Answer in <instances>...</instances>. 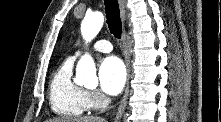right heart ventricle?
Instances as JSON below:
<instances>
[{
	"label": "right heart ventricle",
	"mask_w": 221,
	"mask_h": 122,
	"mask_svg": "<svg viewBox=\"0 0 221 122\" xmlns=\"http://www.w3.org/2000/svg\"><path fill=\"white\" fill-rule=\"evenodd\" d=\"M73 63V58L66 59L50 82V106L53 112L61 116L78 117L91 108L86 91L73 80Z\"/></svg>",
	"instance_id": "obj_1"
}]
</instances>
